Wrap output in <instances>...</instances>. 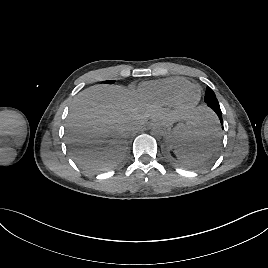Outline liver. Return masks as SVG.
Masks as SVG:
<instances>
[{
  "label": "liver",
  "mask_w": 268,
  "mask_h": 268,
  "mask_svg": "<svg viewBox=\"0 0 268 268\" xmlns=\"http://www.w3.org/2000/svg\"><path fill=\"white\" fill-rule=\"evenodd\" d=\"M210 112L199 107L191 124ZM148 119L166 125L176 121L170 111L138 100L121 86L94 85L77 94L66 119V140L76 160L88 169H106L118 158L132 129Z\"/></svg>",
  "instance_id": "obj_1"
}]
</instances>
